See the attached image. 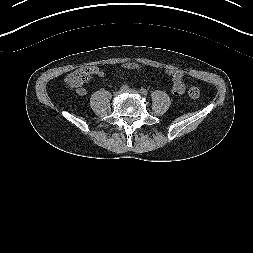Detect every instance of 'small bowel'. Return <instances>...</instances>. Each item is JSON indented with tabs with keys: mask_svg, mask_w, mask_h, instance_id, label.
Wrapping results in <instances>:
<instances>
[{
	"mask_svg": "<svg viewBox=\"0 0 253 253\" xmlns=\"http://www.w3.org/2000/svg\"><path fill=\"white\" fill-rule=\"evenodd\" d=\"M124 67L128 69H137L139 65L134 62H129V63H125ZM91 70L93 74L98 75L99 77H103L105 74L103 70L95 66H92ZM166 73L172 78V88H171L172 94L173 95L181 94L184 91L183 73L175 69H168ZM77 93L79 95H85L86 89L81 88L77 91Z\"/></svg>",
	"mask_w": 253,
	"mask_h": 253,
	"instance_id": "obj_1",
	"label": "small bowel"
}]
</instances>
